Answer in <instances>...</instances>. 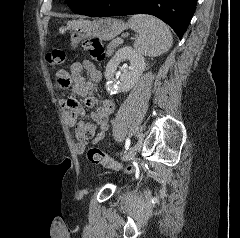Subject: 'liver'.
<instances>
[{
	"instance_id": "6515ba94",
	"label": "liver",
	"mask_w": 240,
	"mask_h": 238,
	"mask_svg": "<svg viewBox=\"0 0 240 238\" xmlns=\"http://www.w3.org/2000/svg\"><path fill=\"white\" fill-rule=\"evenodd\" d=\"M81 22H82L81 20H79V21H75V20L69 21V22L67 23V26L60 28L59 31H60V33H64L66 30H74V29H77L78 27H80Z\"/></svg>"
}]
</instances>
